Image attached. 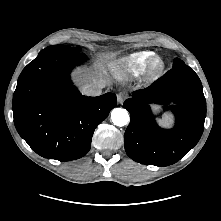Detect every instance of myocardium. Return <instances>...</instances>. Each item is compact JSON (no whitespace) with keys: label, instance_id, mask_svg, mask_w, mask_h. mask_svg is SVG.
<instances>
[{"label":"myocardium","instance_id":"1","mask_svg":"<svg viewBox=\"0 0 221 221\" xmlns=\"http://www.w3.org/2000/svg\"><path fill=\"white\" fill-rule=\"evenodd\" d=\"M165 68V62L160 56H152L146 65V74L149 78L158 77Z\"/></svg>","mask_w":221,"mask_h":221}]
</instances>
